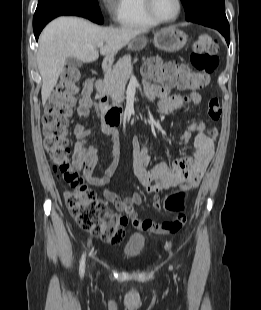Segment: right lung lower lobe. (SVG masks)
<instances>
[{
    "instance_id": "right-lung-lower-lobe-1",
    "label": "right lung lower lobe",
    "mask_w": 261,
    "mask_h": 310,
    "mask_svg": "<svg viewBox=\"0 0 261 310\" xmlns=\"http://www.w3.org/2000/svg\"><path fill=\"white\" fill-rule=\"evenodd\" d=\"M58 16H50V17H46L42 20H40L38 23L33 24V30H34V34L36 37V40H38L39 34L42 31V29L44 28V26L51 21L52 19L56 18Z\"/></svg>"
}]
</instances>
